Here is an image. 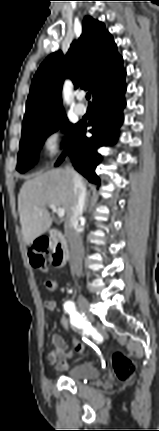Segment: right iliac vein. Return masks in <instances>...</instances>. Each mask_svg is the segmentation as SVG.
<instances>
[{"mask_svg": "<svg viewBox=\"0 0 159 431\" xmlns=\"http://www.w3.org/2000/svg\"><path fill=\"white\" fill-rule=\"evenodd\" d=\"M78 305L82 312L87 313L91 318L92 315L89 313V302L83 295H78Z\"/></svg>", "mask_w": 159, "mask_h": 431, "instance_id": "right-iliac-vein-1", "label": "right iliac vein"}]
</instances>
